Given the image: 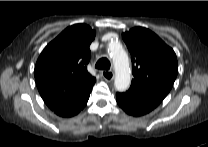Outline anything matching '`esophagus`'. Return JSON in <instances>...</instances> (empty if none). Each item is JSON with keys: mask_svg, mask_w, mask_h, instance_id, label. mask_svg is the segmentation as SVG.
Listing matches in <instances>:
<instances>
[{"mask_svg": "<svg viewBox=\"0 0 208 147\" xmlns=\"http://www.w3.org/2000/svg\"><path fill=\"white\" fill-rule=\"evenodd\" d=\"M101 76L106 80V81H112L114 79V72L113 71H102Z\"/></svg>", "mask_w": 208, "mask_h": 147, "instance_id": "1", "label": "esophagus"}]
</instances>
